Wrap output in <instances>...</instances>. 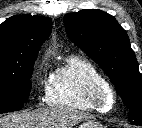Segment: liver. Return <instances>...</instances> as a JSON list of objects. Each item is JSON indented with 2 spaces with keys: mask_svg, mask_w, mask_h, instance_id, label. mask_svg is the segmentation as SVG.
<instances>
[{
  "mask_svg": "<svg viewBox=\"0 0 142 128\" xmlns=\"http://www.w3.org/2000/svg\"><path fill=\"white\" fill-rule=\"evenodd\" d=\"M88 119V114L66 108H40L0 117V128H72Z\"/></svg>",
  "mask_w": 142,
  "mask_h": 128,
  "instance_id": "1",
  "label": "liver"
}]
</instances>
